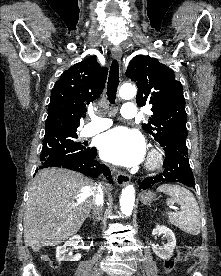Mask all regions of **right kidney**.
<instances>
[{
	"mask_svg": "<svg viewBox=\"0 0 221 276\" xmlns=\"http://www.w3.org/2000/svg\"><path fill=\"white\" fill-rule=\"evenodd\" d=\"M81 237L80 236H74L70 238L68 241L64 243L63 246H58L56 248V259L57 261H79L81 259V254H76L72 257L67 256L66 253L68 251V247L73 246L76 247L78 243L80 242Z\"/></svg>",
	"mask_w": 221,
	"mask_h": 276,
	"instance_id": "right-kidney-1",
	"label": "right kidney"
}]
</instances>
